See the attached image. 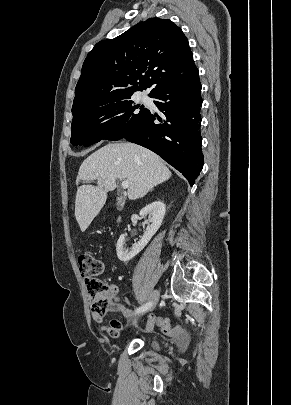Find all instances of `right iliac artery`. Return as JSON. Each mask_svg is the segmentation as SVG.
<instances>
[{
	"instance_id": "right-iliac-artery-1",
	"label": "right iliac artery",
	"mask_w": 291,
	"mask_h": 405,
	"mask_svg": "<svg viewBox=\"0 0 291 405\" xmlns=\"http://www.w3.org/2000/svg\"><path fill=\"white\" fill-rule=\"evenodd\" d=\"M151 306V302H147L146 304L142 305L141 307L135 310V314L142 313L147 311Z\"/></svg>"
}]
</instances>
